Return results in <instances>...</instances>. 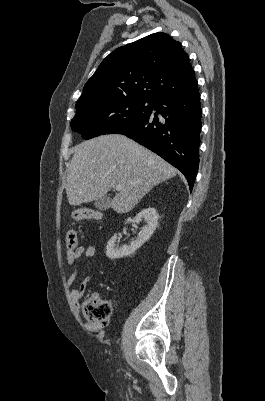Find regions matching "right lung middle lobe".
<instances>
[{
	"label": "right lung middle lobe",
	"mask_w": 265,
	"mask_h": 401,
	"mask_svg": "<svg viewBox=\"0 0 265 401\" xmlns=\"http://www.w3.org/2000/svg\"><path fill=\"white\" fill-rule=\"evenodd\" d=\"M156 101L136 97H104L76 106L73 131L84 139L113 134L152 113Z\"/></svg>",
	"instance_id": "1"
}]
</instances>
